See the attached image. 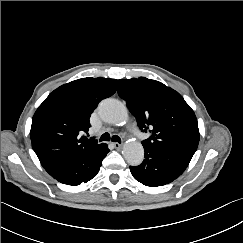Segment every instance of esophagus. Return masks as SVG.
I'll use <instances>...</instances> for the list:
<instances>
[{"mask_svg": "<svg viewBox=\"0 0 243 243\" xmlns=\"http://www.w3.org/2000/svg\"><path fill=\"white\" fill-rule=\"evenodd\" d=\"M113 146H114L115 149H121L122 148V144H119V143H114Z\"/></svg>", "mask_w": 243, "mask_h": 243, "instance_id": "34e87169", "label": "esophagus"}]
</instances>
